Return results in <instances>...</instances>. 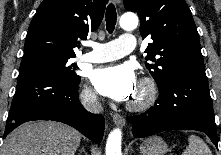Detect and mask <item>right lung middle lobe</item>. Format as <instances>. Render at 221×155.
Wrapping results in <instances>:
<instances>
[{
  "label": "right lung middle lobe",
  "mask_w": 221,
  "mask_h": 155,
  "mask_svg": "<svg viewBox=\"0 0 221 155\" xmlns=\"http://www.w3.org/2000/svg\"><path fill=\"white\" fill-rule=\"evenodd\" d=\"M61 55L50 53H37L25 55L20 64V71L26 68H39L46 70L65 82H76L80 76L75 73L76 65L71 64L69 59Z\"/></svg>",
  "instance_id": "1"
}]
</instances>
